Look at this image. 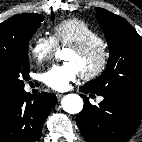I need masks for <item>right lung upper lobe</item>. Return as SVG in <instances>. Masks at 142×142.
<instances>
[{"label": "right lung upper lobe", "instance_id": "1", "mask_svg": "<svg viewBox=\"0 0 142 142\" xmlns=\"http://www.w3.org/2000/svg\"><path fill=\"white\" fill-rule=\"evenodd\" d=\"M24 16L25 14L16 15L0 23V40L6 35L14 34ZM13 96L14 94L12 93L0 91V111L12 99Z\"/></svg>", "mask_w": 142, "mask_h": 142}]
</instances>
